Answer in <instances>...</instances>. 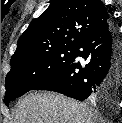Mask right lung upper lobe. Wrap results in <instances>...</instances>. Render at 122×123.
Segmentation results:
<instances>
[{"mask_svg": "<svg viewBox=\"0 0 122 123\" xmlns=\"http://www.w3.org/2000/svg\"><path fill=\"white\" fill-rule=\"evenodd\" d=\"M110 22L101 0H54L20 36L10 63L43 53L77 49L93 32Z\"/></svg>", "mask_w": 122, "mask_h": 123, "instance_id": "1", "label": "right lung upper lobe"}]
</instances>
